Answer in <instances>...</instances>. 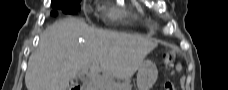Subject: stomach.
<instances>
[{
  "instance_id": "1",
  "label": "stomach",
  "mask_w": 228,
  "mask_h": 90,
  "mask_svg": "<svg viewBox=\"0 0 228 90\" xmlns=\"http://www.w3.org/2000/svg\"><path fill=\"white\" fill-rule=\"evenodd\" d=\"M158 76L156 65L150 60H145L139 66L137 74L138 90H150Z\"/></svg>"
}]
</instances>
